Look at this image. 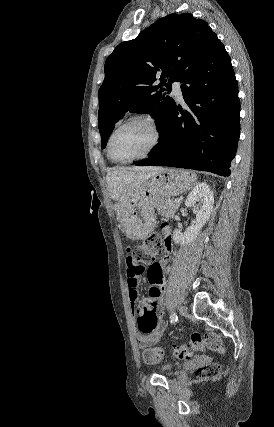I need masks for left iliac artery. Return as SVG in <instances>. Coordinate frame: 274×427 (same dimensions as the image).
I'll list each match as a JSON object with an SVG mask.
<instances>
[{"mask_svg":"<svg viewBox=\"0 0 274 427\" xmlns=\"http://www.w3.org/2000/svg\"><path fill=\"white\" fill-rule=\"evenodd\" d=\"M178 321V316H177V314L175 313V312H173V313H171V315H170V323L171 324H174L175 322H177Z\"/></svg>","mask_w":274,"mask_h":427,"instance_id":"44dca946","label":"left iliac artery"}]
</instances>
